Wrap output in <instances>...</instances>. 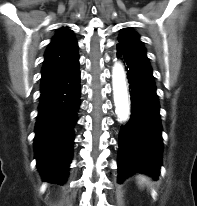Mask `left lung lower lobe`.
<instances>
[{
  "mask_svg": "<svg viewBox=\"0 0 197 206\" xmlns=\"http://www.w3.org/2000/svg\"><path fill=\"white\" fill-rule=\"evenodd\" d=\"M117 48L127 71L132 113L119 133L118 182L133 173L155 179L162 165V126L152 70L119 45Z\"/></svg>",
  "mask_w": 197,
  "mask_h": 206,
  "instance_id": "1",
  "label": "left lung lower lobe"
}]
</instances>
